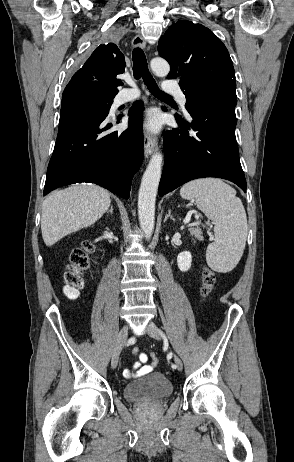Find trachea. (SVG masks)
Here are the masks:
<instances>
[{
  "instance_id": "obj_1",
  "label": "trachea",
  "mask_w": 294,
  "mask_h": 462,
  "mask_svg": "<svg viewBox=\"0 0 294 462\" xmlns=\"http://www.w3.org/2000/svg\"><path fill=\"white\" fill-rule=\"evenodd\" d=\"M132 60H133V75L135 79L142 78L145 85L149 89V91L158 98L163 99H172L169 95L162 92L155 80L153 79L151 73L149 72L147 66V60L143 50L140 47H136L132 52Z\"/></svg>"
}]
</instances>
